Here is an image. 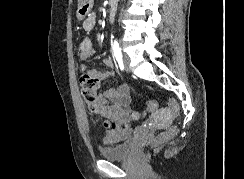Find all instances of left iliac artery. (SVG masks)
<instances>
[{
	"label": "left iliac artery",
	"instance_id": "1",
	"mask_svg": "<svg viewBox=\"0 0 244 179\" xmlns=\"http://www.w3.org/2000/svg\"><path fill=\"white\" fill-rule=\"evenodd\" d=\"M113 54L118 62L122 61L121 48L119 47V43L116 40H114V43H113ZM121 67L123 68V63H122Z\"/></svg>",
	"mask_w": 244,
	"mask_h": 179
}]
</instances>
